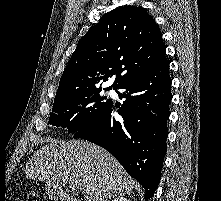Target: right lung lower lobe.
<instances>
[{
  "label": "right lung lower lobe",
  "mask_w": 221,
  "mask_h": 201,
  "mask_svg": "<svg viewBox=\"0 0 221 201\" xmlns=\"http://www.w3.org/2000/svg\"><path fill=\"white\" fill-rule=\"evenodd\" d=\"M167 59L154 70L130 78L115 89H123L126 98L113 117V102L91 124L75 132L109 151L145 189V200L152 198L159 184L168 136V104L172 99V80Z\"/></svg>",
  "instance_id": "1"
}]
</instances>
